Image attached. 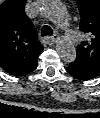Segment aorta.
Masks as SVG:
<instances>
[{"label": "aorta", "mask_w": 100, "mask_h": 118, "mask_svg": "<svg viewBox=\"0 0 100 118\" xmlns=\"http://www.w3.org/2000/svg\"><path fill=\"white\" fill-rule=\"evenodd\" d=\"M42 14L62 28L68 24L67 13L59 0H43ZM56 51L64 62H73L76 59V49L72 41L61 38L56 44Z\"/></svg>", "instance_id": "1"}]
</instances>
